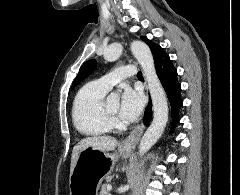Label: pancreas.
Listing matches in <instances>:
<instances>
[{"label": "pancreas", "mask_w": 240, "mask_h": 195, "mask_svg": "<svg viewBox=\"0 0 240 195\" xmlns=\"http://www.w3.org/2000/svg\"><path fill=\"white\" fill-rule=\"evenodd\" d=\"M107 185H109V183H103L99 195H109V189H107Z\"/></svg>", "instance_id": "pancreas-1"}]
</instances>
